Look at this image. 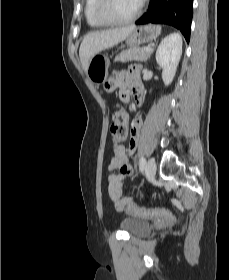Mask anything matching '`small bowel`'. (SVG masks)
Returning a JSON list of instances; mask_svg holds the SVG:
<instances>
[{
    "label": "small bowel",
    "mask_w": 229,
    "mask_h": 280,
    "mask_svg": "<svg viewBox=\"0 0 229 280\" xmlns=\"http://www.w3.org/2000/svg\"><path fill=\"white\" fill-rule=\"evenodd\" d=\"M105 90L113 93L118 90L121 100L126 101L130 92L134 94V98L138 105L144 102V89L140 76V67L131 65L127 71L116 72L105 83ZM123 111V110H120ZM142 127V119L135 118L131 125V139L128 148L123 144L114 147L113 156L110 160L108 170V190L110 197L117 200L123 196V182L134 173V169L128 161L127 154H133L138 146L140 130ZM116 170H119L117 173ZM119 211L121 208H117Z\"/></svg>",
    "instance_id": "small-bowel-1"
}]
</instances>
